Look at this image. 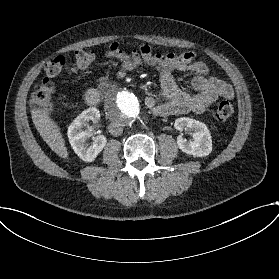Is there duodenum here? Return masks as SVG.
Here are the masks:
<instances>
[{"instance_id": "obj_1", "label": "duodenum", "mask_w": 279, "mask_h": 279, "mask_svg": "<svg viewBox=\"0 0 279 279\" xmlns=\"http://www.w3.org/2000/svg\"><path fill=\"white\" fill-rule=\"evenodd\" d=\"M116 88V84L113 81H105L97 88L89 89L85 94V102L88 106L96 105L101 96L108 95Z\"/></svg>"}]
</instances>
